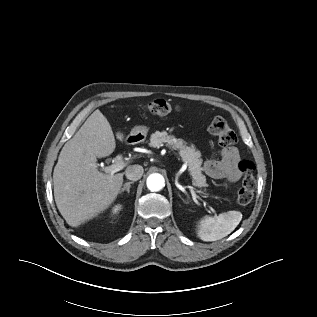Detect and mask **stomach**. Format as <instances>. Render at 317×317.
Listing matches in <instances>:
<instances>
[{
	"label": "stomach",
	"mask_w": 317,
	"mask_h": 317,
	"mask_svg": "<svg viewBox=\"0 0 317 317\" xmlns=\"http://www.w3.org/2000/svg\"><path fill=\"white\" fill-rule=\"evenodd\" d=\"M149 131V127L144 126V125H140V126H135L129 137H133L135 139V142H142L145 140L147 134Z\"/></svg>",
	"instance_id": "stomach-1"
}]
</instances>
